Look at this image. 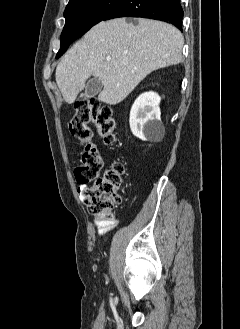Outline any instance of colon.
<instances>
[{
    "instance_id": "1",
    "label": "colon",
    "mask_w": 240,
    "mask_h": 329,
    "mask_svg": "<svg viewBox=\"0 0 240 329\" xmlns=\"http://www.w3.org/2000/svg\"><path fill=\"white\" fill-rule=\"evenodd\" d=\"M90 124L95 125L106 142H114L113 109L98 98L83 99L75 103V114L69 124L71 134L83 146L80 163L74 170L75 180L81 185L92 183L83 193L85 206L95 218L106 221L122 202L124 164L115 162L101 175L103 162L92 144Z\"/></svg>"
}]
</instances>
